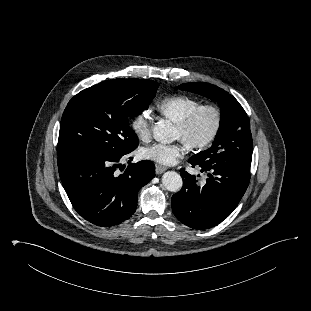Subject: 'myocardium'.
Listing matches in <instances>:
<instances>
[{"instance_id":"f54148a6","label":"myocardium","mask_w":311,"mask_h":311,"mask_svg":"<svg viewBox=\"0 0 311 311\" xmlns=\"http://www.w3.org/2000/svg\"><path fill=\"white\" fill-rule=\"evenodd\" d=\"M205 112H210L213 114L214 123L213 127L206 138L199 142H192L184 140V144L192 150H204L211 146L216 140L217 136L220 133L222 123H223V114L220 107L214 104H204L200 105L194 111H192L186 118L181 122L176 124V127L181 131V133L186 136L191 131L192 127L198 120V118Z\"/></svg>"}]
</instances>
